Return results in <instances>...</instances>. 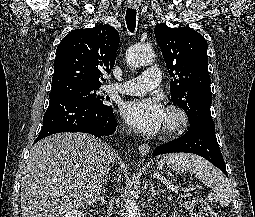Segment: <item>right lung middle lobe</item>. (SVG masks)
I'll list each match as a JSON object with an SVG mask.
<instances>
[{
  "label": "right lung middle lobe",
  "mask_w": 255,
  "mask_h": 217,
  "mask_svg": "<svg viewBox=\"0 0 255 217\" xmlns=\"http://www.w3.org/2000/svg\"><path fill=\"white\" fill-rule=\"evenodd\" d=\"M100 87L85 86L80 84H64L51 88L49 98L67 97L86 103L97 108H111L103 102V96H98L96 90ZM109 100V98H106Z\"/></svg>",
  "instance_id": "obj_1"
}]
</instances>
